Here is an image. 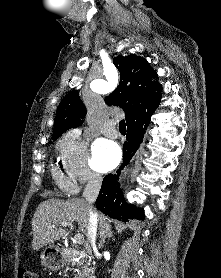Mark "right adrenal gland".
<instances>
[{"label":"right adrenal gland","mask_w":221,"mask_h":278,"mask_svg":"<svg viewBox=\"0 0 221 278\" xmlns=\"http://www.w3.org/2000/svg\"><path fill=\"white\" fill-rule=\"evenodd\" d=\"M113 232L111 230L106 231L105 233H100V242L99 247H102L106 241V239L113 238Z\"/></svg>","instance_id":"right-adrenal-gland-1"}]
</instances>
